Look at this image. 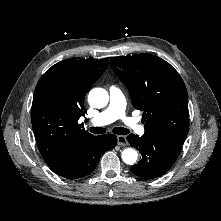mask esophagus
I'll use <instances>...</instances> for the list:
<instances>
[{
  "mask_svg": "<svg viewBox=\"0 0 221 221\" xmlns=\"http://www.w3.org/2000/svg\"><path fill=\"white\" fill-rule=\"evenodd\" d=\"M117 142L120 146H126L128 144L126 136L123 135L117 136Z\"/></svg>",
  "mask_w": 221,
  "mask_h": 221,
  "instance_id": "obj_1",
  "label": "esophagus"
}]
</instances>
